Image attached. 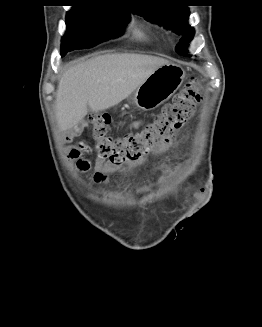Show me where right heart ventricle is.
<instances>
[{"label": "right heart ventricle", "instance_id": "1", "mask_svg": "<svg viewBox=\"0 0 262 327\" xmlns=\"http://www.w3.org/2000/svg\"><path fill=\"white\" fill-rule=\"evenodd\" d=\"M132 34L135 38L141 39L144 37V33L137 27H133Z\"/></svg>", "mask_w": 262, "mask_h": 327}]
</instances>
